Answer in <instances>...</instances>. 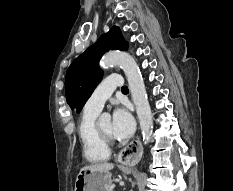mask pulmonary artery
<instances>
[{"instance_id":"1","label":"pulmonary artery","mask_w":233,"mask_h":191,"mask_svg":"<svg viewBox=\"0 0 233 191\" xmlns=\"http://www.w3.org/2000/svg\"><path fill=\"white\" fill-rule=\"evenodd\" d=\"M122 85L123 81L119 75H110L106 77L87 100L85 110L99 113L113 91Z\"/></svg>"}]
</instances>
